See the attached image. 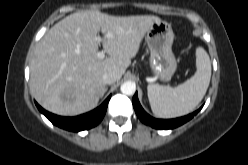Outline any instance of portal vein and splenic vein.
I'll return each mask as SVG.
<instances>
[{
	"instance_id": "portal-vein-and-splenic-vein-1",
	"label": "portal vein and splenic vein",
	"mask_w": 248,
	"mask_h": 165,
	"mask_svg": "<svg viewBox=\"0 0 248 165\" xmlns=\"http://www.w3.org/2000/svg\"><path fill=\"white\" fill-rule=\"evenodd\" d=\"M106 37H112V34L111 33H108V34H106ZM96 40L101 41V37H96ZM97 57L99 59H104L105 58V52L104 51H99L97 53Z\"/></svg>"
}]
</instances>
